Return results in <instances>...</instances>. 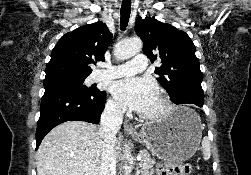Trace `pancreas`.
Segmentation results:
<instances>
[{
  "label": "pancreas",
  "mask_w": 251,
  "mask_h": 175,
  "mask_svg": "<svg viewBox=\"0 0 251 175\" xmlns=\"http://www.w3.org/2000/svg\"><path fill=\"white\" fill-rule=\"evenodd\" d=\"M141 159L139 161V165L142 169L143 175H152L154 173V159H152L149 151L147 149H140Z\"/></svg>",
  "instance_id": "1"
}]
</instances>
